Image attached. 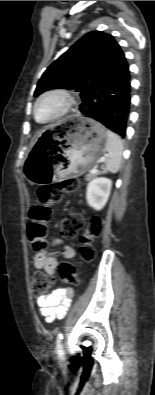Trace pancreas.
<instances>
[{
	"label": "pancreas",
	"instance_id": "cf45deb5",
	"mask_svg": "<svg viewBox=\"0 0 155 395\" xmlns=\"http://www.w3.org/2000/svg\"><path fill=\"white\" fill-rule=\"evenodd\" d=\"M98 174H100V172H96L94 174L90 173V174H87L86 177H87V179H92V178L96 177Z\"/></svg>",
	"mask_w": 155,
	"mask_h": 395
}]
</instances>
